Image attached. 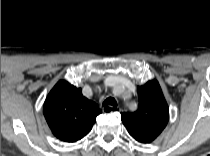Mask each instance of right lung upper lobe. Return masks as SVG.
<instances>
[{"label":"right lung upper lobe","mask_w":210,"mask_h":156,"mask_svg":"<svg viewBox=\"0 0 210 156\" xmlns=\"http://www.w3.org/2000/svg\"><path fill=\"white\" fill-rule=\"evenodd\" d=\"M44 116L53 135L64 142H75L88 134L101 113L98 105L67 81L60 80L44 103Z\"/></svg>","instance_id":"1"}]
</instances>
